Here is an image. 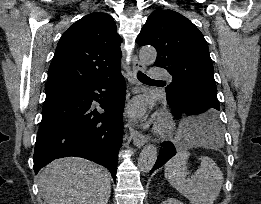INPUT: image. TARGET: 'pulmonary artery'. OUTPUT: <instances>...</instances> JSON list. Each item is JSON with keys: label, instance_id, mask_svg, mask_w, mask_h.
Segmentation results:
<instances>
[{"label": "pulmonary artery", "instance_id": "e3ab8cb5", "mask_svg": "<svg viewBox=\"0 0 261 204\" xmlns=\"http://www.w3.org/2000/svg\"><path fill=\"white\" fill-rule=\"evenodd\" d=\"M150 77L152 79H168L170 78L169 74L162 68L159 67H153L150 70Z\"/></svg>", "mask_w": 261, "mask_h": 204}]
</instances>
